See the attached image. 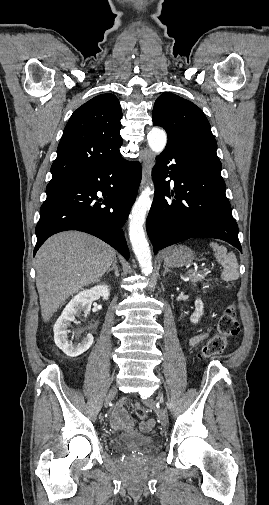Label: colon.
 Wrapping results in <instances>:
<instances>
[{
	"instance_id": "colon-1",
	"label": "colon",
	"mask_w": 269,
	"mask_h": 505,
	"mask_svg": "<svg viewBox=\"0 0 269 505\" xmlns=\"http://www.w3.org/2000/svg\"><path fill=\"white\" fill-rule=\"evenodd\" d=\"M239 331L240 323L235 308L231 306L220 316L217 332L203 346L201 358L208 359L220 355L226 349L229 339L238 335ZM135 412L140 418L146 416V410L141 405H136Z\"/></svg>"
}]
</instances>
